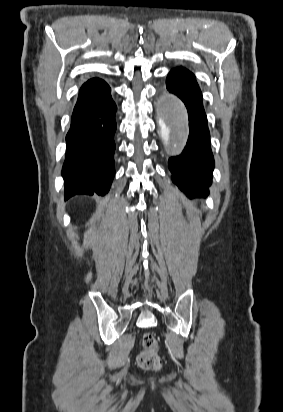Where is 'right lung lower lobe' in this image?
I'll list each match as a JSON object with an SVG mask.
<instances>
[{"mask_svg":"<svg viewBox=\"0 0 283 412\" xmlns=\"http://www.w3.org/2000/svg\"><path fill=\"white\" fill-rule=\"evenodd\" d=\"M116 110L103 80L93 78L81 87L66 136L65 199L108 192L115 174Z\"/></svg>","mask_w":283,"mask_h":412,"instance_id":"obj_1","label":"right lung lower lobe"}]
</instances>
